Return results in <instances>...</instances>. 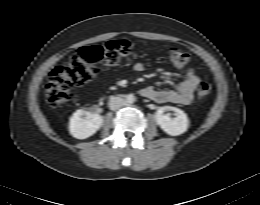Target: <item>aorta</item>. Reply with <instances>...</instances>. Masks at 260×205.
Listing matches in <instances>:
<instances>
[{
	"label": "aorta",
	"instance_id": "1",
	"mask_svg": "<svg viewBox=\"0 0 260 205\" xmlns=\"http://www.w3.org/2000/svg\"><path fill=\"white\" fill-rule=\"evenodd\" d=\"M135 100H136V98H135V96H134L133 94H128V95L126 96L125 102H126L127 104H132V103L135 102Z\"/></svg>",
	"mask_w": 260,
	"mask_h": 205
}]
</instances>
